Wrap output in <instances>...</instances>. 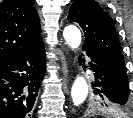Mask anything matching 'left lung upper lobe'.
I'll list each match as a JSON object with an SVG mask.
<instances>
[{
  "mask_svg": "<svg viewBox=\"0 0 133 118\" xmlns=\"http://www.w3.org/2000/svg\"><path fill=\"white\" fill-rule=\"evenodd\" d=\"M68 20L79 23L83 29L85 36L83 47L100 51L109 60L126 70L114 23L96 1L75 0L70 8ZM97 102L104 110L116 109L103 99Z\"/></svg>",
  "mask_w": 133,
  "mask_h": 118,
  "instance_id": "left-lung-upper-lobe-1",
  "label": "left lung upper lobe"
}]
</instances>
